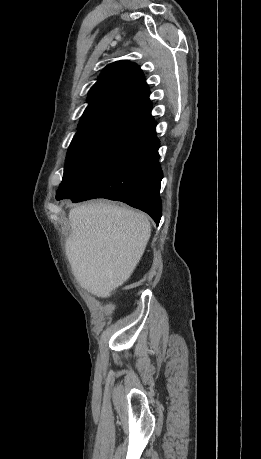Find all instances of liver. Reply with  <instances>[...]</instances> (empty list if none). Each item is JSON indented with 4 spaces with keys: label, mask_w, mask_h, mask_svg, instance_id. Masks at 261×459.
<instances>
[{
    "label": "liver",
    "mask_w": 261,
    "mask_h": 459,
    "mask_svg": "<svg viewBox=\"0 0 261 459\" xmlns=\"http://www.w3.org/2000/svg\"><path fill=\"white\" fill-rule=\"evenodd\" d=\"M69 225L65 249L75 277L101 298L130 278L151 236L145 214L105 201L72 208Z\"/></svg>",
    "instance_id": "obj_1"
}]
</instances>
